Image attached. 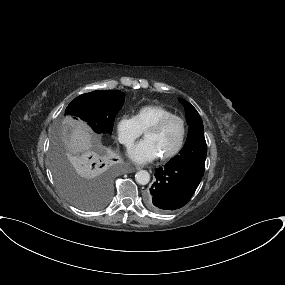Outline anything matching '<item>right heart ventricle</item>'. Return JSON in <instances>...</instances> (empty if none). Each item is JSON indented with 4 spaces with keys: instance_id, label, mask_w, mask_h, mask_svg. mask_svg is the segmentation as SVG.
<instances>
[{
    "instance_id": "e07e8e85",
    "label": "right heart ventricle",
    "mask_w": 285,
    "mask_h": 285,
    "mask_svg": "<svg viewBox=\"0 0 285 285\" xmlns=\"http://www.w3.org/2000/svg\"><path fill=\"white\" fill-rule=\"evenodd\" d=\"M170 115H173V113L162 105L148 104L137 108L133 118L138 129L142 132L161 118Z\"/></svg>"
}]
</instances>
